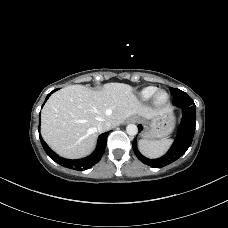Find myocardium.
<instances>
[{"mask_svg": "<svg viewBox=\"0 0 228 228\" xmlns=\"http://www.w3.org/2000/svg\"><path fill=\"white\" fill-rule=\"evenodd\" d=\"M164 96V99H161V96ZM170 96L165 90H157L152 96V103L156 107H163L169 102Z\"/></svg>", "mask_w": 228, "mask_h": 228, "instance_id": "f54148a6", "label": "myocardium"}]
</instances>
